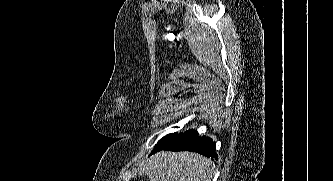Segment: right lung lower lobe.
<instances>
[{
	"mask_svg": "<svg viewBox=\"0 0 333 181\" xmlns=\"http://www.w3.org/2000/svg\"><path fill=\"white\" fill-rule=\"evenodd\" d=\"M215 142L209 137L198 136L197 131H191L185 136L181 137L174 143L167 146H155L153 153L159 150L165 151H194L206 157L217 158L215 153Z\"/></svg>",
	"mask_w": 333,
	"mask_h": 181,
	"instance_id": "98d812e1",
	"label": "right lung lower lobe"
}]
</instances>
